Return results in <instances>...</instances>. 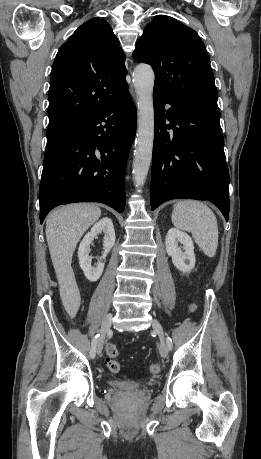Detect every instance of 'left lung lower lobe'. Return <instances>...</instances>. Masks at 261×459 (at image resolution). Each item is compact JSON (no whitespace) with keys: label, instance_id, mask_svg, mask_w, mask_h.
<instances>
[{"label":"left lung lower lobe","instance_id":"1","mask_svg":"<svg viewBox=\"0 0 261 459\" xmlns=\"http://www.w3.org/2000/svg\"><path fill=\"white\" fill-rule=\"evenodd\" d=\"M153 99L151 210L172 199L209 200L228 221L229 172L219 110L186 106L159 92ZM167 103L171 108L165 112Z\"/></svg>","mask_w":261,"mask_h":459}]
</instances>
